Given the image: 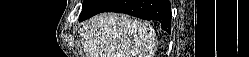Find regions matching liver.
<instances>
[{"instance_id":"1","label":"liver","mask_w":249,"mask_h":57,"mask_svg":"<svg viewBox=\"0 0 249 57\" xmlns=\"http://www.w3.org/2000/svg\"><path fill=\"white\" fill-rule=\"evenodd\" d=\"M81 33L87 57H153L156 51L153 27L126 15H96L83 23Z\"/></svg>"}]
</instances>
